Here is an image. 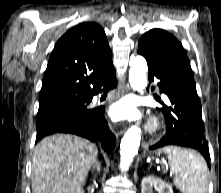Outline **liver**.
Returning <instances> with one entry per match:
<instances>
[{
  "instance_id": "liver-1",
  "label": "liver",
  "mask_w": 221,
  "mask_h": 193,
  "mask_svg": "<svg viewBox=\"0 0 221 193\" xmlns=\"http://www.w3.org/2000/svg\"><path fill=\"white\" fill-rule=\"evenodd\" d=\"M95 144L74 135L41 140L32 158V193H80L97 160Z\"/></svg>"
}]
</instances>
